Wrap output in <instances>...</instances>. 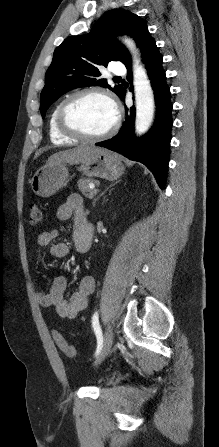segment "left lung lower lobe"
Wrapping results in <instances>:
<instances>
[{"label": "left lung lower lobe", "mask_w": 219, "mask_h": 447, "mask_svg": "<svg viewBox=\"0 0 219 447\" xmlns=\"http://www.w3.org/2000/svg\"><path fill=\"white\" fill-rule=\"evenodd\" d=\"M143 63L148 72L156 102V120L151 130L142 138L133 135L135 108L126 107V121L113 138L96 143L125 157L145 164L154 174L159 186L164 187L169 162L173 105L170 89L166 84V74L162 67V56L150 34L140 45ZM127 78L132 79L131 61L125 63ZM126 94L124 89L121 99Z\"/></svg>", "instance_id": "obj_1"}]
</instances>
